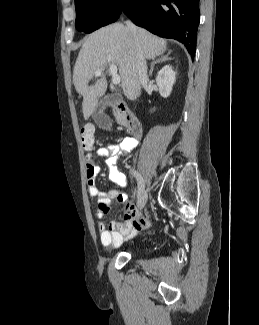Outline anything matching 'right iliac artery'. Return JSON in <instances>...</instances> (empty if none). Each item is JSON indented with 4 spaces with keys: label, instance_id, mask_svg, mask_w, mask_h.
<instances>
[{
    "label": "right iliac artery",
    "instance_id": "1",
    "mask_svg": "<svg viewBox=\"0 0 259 325\" xmlns=\"http://www.w3.org/2000/svg\"><path fill=\"white\" fill-rule=\"evenodd\" d=\"M130 173L131 174H133L134 175V179H135V185H136V187H137V193H138V195L137 196H139V194H141L142 193V180H141V176L135 171V170H130Z\"/></svg>",
    "mask_w": 259,
    "mask_h": 325
}]
</instances>
